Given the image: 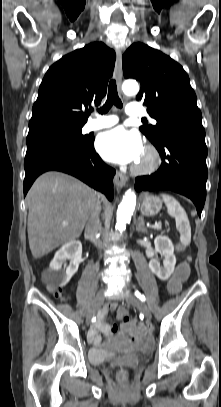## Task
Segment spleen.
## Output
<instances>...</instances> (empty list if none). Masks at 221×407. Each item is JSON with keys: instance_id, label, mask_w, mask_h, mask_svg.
Here are the masks:
<instances>
[{"instance_id": "spleen-1", "label": "spleen", "mask_w": 221, "mask_h": 407, "mask_svg": "<svg viewBox=\"0 0 221 407\" xmlns=\"http://www.w3.org/2000/svg\"><path fill=\"white\" fill-rule=\"evenodd\" d=\"M168 214L175 218L176 228L180 233V241L187 246L191 242V227L187 214L180 203L171 195L161 194Z\"/></svg>"}]
</instances>
